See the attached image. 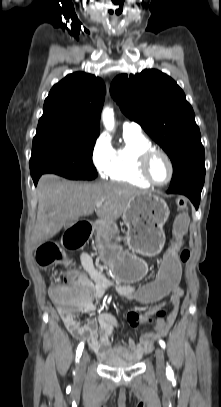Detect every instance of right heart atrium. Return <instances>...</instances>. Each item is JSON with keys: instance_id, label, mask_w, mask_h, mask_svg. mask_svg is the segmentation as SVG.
<instances>
[{"instance_id": "obj_1", "label": "right heart atrium", "mask_w": 221, "mask_h": 407, "mask_svg": "<svg viewBox=\"0 0 221 407\" xmlns=\"http://www.w3.org/2000/svg\"><path fill=\"white\" fill-rule=\"evenodd\" d=\"M113 152V147L108 138H106L105 136H100L96 140L92 149L91 159L98 174L102 178H106L109 176L112 165Z\"/></svg>"}]
</instances>
